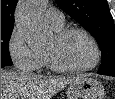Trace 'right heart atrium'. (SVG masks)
I'll use <instances>...</instances> for the list:
<instances>
[{"instance_id":"right-heart-atrium-1","label":"right heart atrium","mask_w":115,"mask_h":99,"mask_svg":"<svg viewBox=\"0 0 115 99\" xmlns=\"http://www.w3.org/2000/svg\"><path fill=\"white\" fill-rule=\"evenodd\" d=\"M7 48L11 60L19 70L32 72L41 66V53L29 47L18 27L13 28Z\"/></svg>"}]
</instances>
